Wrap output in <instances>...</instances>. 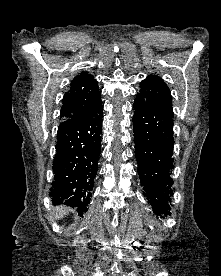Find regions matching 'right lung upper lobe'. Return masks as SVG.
I'll return each instance as SVG.
<instances>
[{
  "label": "right lung upper lobe",
  "instance_id": "1",
  "mask_svg": "<svg viewBox=\"0 0 221 276\" xmlns=\"http://www.w3.org/2000/svg\"><path fill=\"white\" fill-rule=\"evenodd\" d=\"M101 101L97 81L88 72H81L63 97L60 117L63 121L78 119L91 112Z\"/></svg>",
  "mask_w": 221,
  "mask_h": 276
}]
</instances>
